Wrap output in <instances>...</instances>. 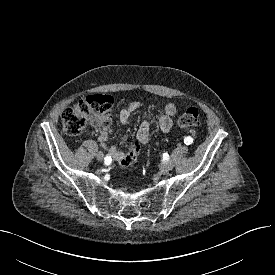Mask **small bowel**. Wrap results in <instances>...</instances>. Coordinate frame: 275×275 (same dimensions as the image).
<instances>
[{"instance_id":"small-bowel-1","label":"small bowel","mask_w":275,"mask_h":275,"mask_svg":"<svg viewBox=\"0 0 275 275\" xmlns=\"http://www.w3.org/2000/svg\"><path fill=\"white\" fill-rule=\"evenodd\" d=\"M140 109V103L133 101L130 102L126 107H124L119 114V122L122 125H126L131 117V115L137 112ZM177 113V108L173 103H169L164 112L159 113L154 116V120L159 126V129L166 133L169 132L173 125V119ZM99 127V137L98 141L100 145L107 150L108 154L119 163L130 158L133 154L138 153L136 149L140 148V144H148L150 142V119L143 115L141 119L140 126L137 131V142L131 144L126 151H120L118 148L112 146L107 147L106 142L109 138V135L112 132V128L109 120L104 123H97Z\"/></svg>"}]
</instances>
